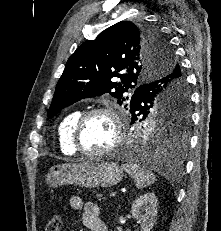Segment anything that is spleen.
Wrapping results in <instances>:
<instances>
[{
    "instance_id": "spleen-1",
    "label": "spleen",
    "mask_w": 221,
    "mask_h": 231,
    "mask_svg": "<svg viewBox=\"0 0 221 231\" xmlns=\"http://www.w3.org/2000/svg\"><path fill=\"white\" fill-rule=\"evenodd\" d=\"M122 169L134 179L136 187L139 189L152 185L156 180L154 173L133 161L122 164Z\"/></svg>"
}]
</instances>
